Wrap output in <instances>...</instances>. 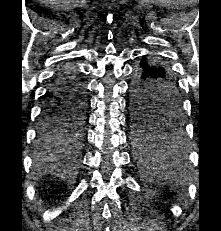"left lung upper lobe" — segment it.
Here are the masks:
<instances>
[{"label": "left lung upper lobe", "mask_w": 221, "mask_h": 231, "mask_svg": "<svg viewBox=\"0 0 221 231\" xmlns=\"http://www.w3.org/2000/svg\"><path fill=\"white\" fill-rule=\"evenodd\" d=\"M149 66L160 73V77L156 78L155 82L163 86L140 90L142 96L149 100L158 95L166 102L162 106L156 107L145 103H131V123L134 127V138L137 142H144L160 135L161 133H156L157 130L162 132L164 129L171 128L181 119L180 94L169 68L158 62H149Z\"/></svg>", "instance_id": "1"}]
</instances>
